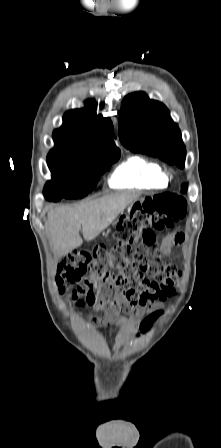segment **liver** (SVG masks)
<instances>
[{
	"mask_svg": "<svg viewBox=\"0 0 221 448\" xmlns=\"http://www.w3.org/2000/svg\"><path fill=\"white\" fill-rule=\"evenodd\" d=\"M137 198L138 194L134 193L112 194L76 207L51 209L46 228L56 257H63L82 245L81 227L83 238L92 241Z\"/></svg>",
	"mask_w": 221,
	"mask_h": 448,
	"instance_id": "obj_1",
	"label": "liver"
}]
</instances>
